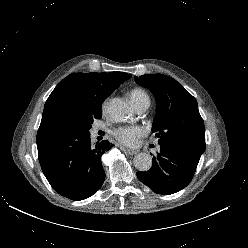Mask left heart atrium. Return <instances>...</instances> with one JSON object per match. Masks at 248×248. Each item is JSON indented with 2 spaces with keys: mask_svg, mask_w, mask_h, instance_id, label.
Returning <instances> with one entry per match:
<instances>
[{
  "mask_svg": "<svg viewBox=\"0 0 248 248\" xmlns=\"http://www.w3.org/2000/svg\"><path fill=\"white\" fill-rule=\"evenodd\" d=\"M146 134V129L139 125L121 126L113 131L114 137L124 145L134 146Z\"/></svg>",
  "mask_w": 248,
  "mask_h": 248,
  "instance_id": "obj_1",
  "label": "left heart atrium"
}]
</instances>
